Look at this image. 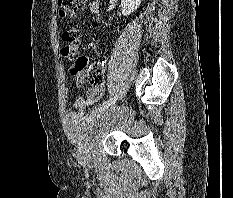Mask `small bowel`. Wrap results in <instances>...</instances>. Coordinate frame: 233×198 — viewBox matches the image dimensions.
Returning a JSON list of instances; mask_svg holds the SVG:
<instances>
[{
  "mask_svg": "<svg viewBox=\"0 0 233 198\" xmlns=\"http://www.w3.org/2000/svg\"><path fill=\"white\" fill-rule=\"evenodd\" d=\"M62 53L63 55L68 56L70 58H74L76 56V51L69 47L64 48L62 50ZM80 59L84 60L83 64L78 63ZM88 63L89 61L87 57L79 56L76 58L75 64L70 69V73L74 76V82L77 87H80L83 84L85 77L89 74L90 70L93 67V65L88 66ZM103 93L104 85L101 84L99 86L92 87L88 90L86 97L76 98L74 106L77 109L85 110L91 105L98 102L102 98Z\"/></svg>",
  "mask_w": 233,
  "mask_h": 198,
  "instance_id": "c3829d8e",
  "label": "small bowel"
}]
</instances>
